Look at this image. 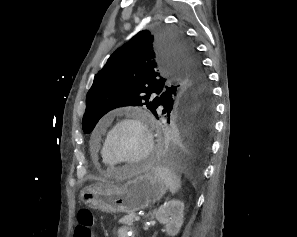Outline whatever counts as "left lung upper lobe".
Listing matches in <instances>:
<instances>
[{"instance_id":"left-lung-upper-lobe-1","label":"left lung upper lobe","mask_w":297,"mask_h":237,"mask_svg":"<svg viewBox=\"0 0 297 237\" xmlns=\"http://www.w3.org/2000/svg\"><path fill=\"white\" fill-rule=\"evenodd\" d=\"M151 98L152 93H161ZM171 99L200 105L212 100L211 90L193 47L177 30H143L116 50L95 75L82 120L90 133L99 119L120 106H143L158 118ZM163 107V110H162Z\"/></svg>"}]
</instances>
